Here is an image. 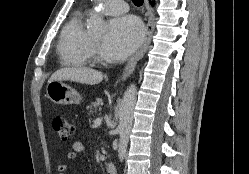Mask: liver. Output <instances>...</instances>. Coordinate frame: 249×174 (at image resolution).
Masks as SVG:
<instances>
[{
	"label": "liver",
	"instance_id": "obj_1",
	"mask_svg": "<svg viewBox=\"0 0 249 174\" xmlns=\"http://www.w3.org/2000/svg\"><path fill=\"white\" fill-rule=\"evenodd\" d=\"M103 74L87 67H66L57 70L49 79L51 81H73L95 85L102 81Z\"/></svg>",
	"mask_w": 249,
	"mask_h": 174
}]
</instances>
